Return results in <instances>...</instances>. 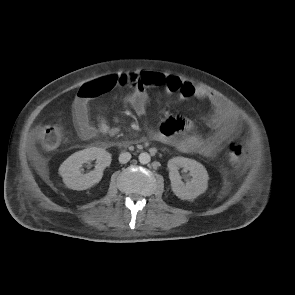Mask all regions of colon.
<instances>
[{"instance_id": "1", "label": "colon", "mask_w": 295, "mask_h": 295, "mask_svg": "<svg viewBox=\"0 0 295 295\" xmlns=\"http://www.w3.org/2000/svg\"><path fill=\"white\" fill-rule=\"evenodd\" d=\"M107 83L110 88L115 86L131 88L139 85L137 77L133 74L114 76L108 79ZM38 137L46 149L54 150L61 143L62 132L57 126L46 125L39 130ZM228 155L233 164H240L247 158L248 151L242 144L232 140L228 143Z\"/></svg>"}]
</instances>
